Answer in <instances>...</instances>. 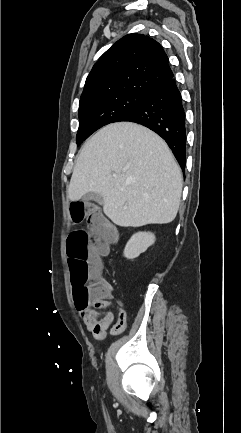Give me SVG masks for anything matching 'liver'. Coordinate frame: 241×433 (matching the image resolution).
Segmentation results:
<instances>
[{
	"mask_svg": "<svg viewBox=\"0 0 241 433\" xmlns=\"http://www.w3.org/2000/svg\"><path fill=\"white\" fill-rule=\"evenodd\" d=\"M182 181L163 139L142 125L117 122L84 144L67 197L75 202L88 192L100 194L104 214L118 226L167 224L177 215Z\"/></svg>",
	"mask_w": 241,
	"mask_h": 433,
	"instance_id": "liver-1",
	"label": "liver"
}]
</instances>
